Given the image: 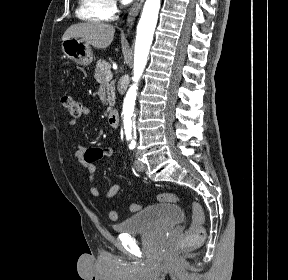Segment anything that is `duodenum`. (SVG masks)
<instances>
[{
    "label": "duodenum",
    "instance_id": "410a0bca",
    "mask_svg": "<svg viewBox=\"0 0 288 280\" xmlns=\"http://www.w3.org/2000/svg\"><path fill=\"white\" fill-rule=\"evenodd\" d=\"M108 123L112 128H118L120 123V115L116 109H112L108 113L107 117Z\"/></svg>",
    "mask_w": 288,
    "mask_h": 280
}]
</instances>
